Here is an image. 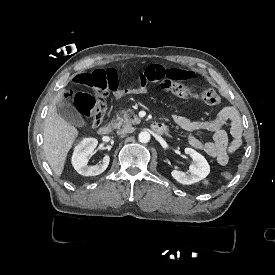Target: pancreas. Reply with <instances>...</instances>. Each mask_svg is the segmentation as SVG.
Instances as JSON below:
<instances>
[{"instance_id":"obj_1","label":"pancreas","mask_w":275,"mask_h":275,"mask_svg":"<svg viewBox=\"0 0 275 275\" xmlns=\"http://www.w3.org/2000/svg\"><path fill=\"white\" fill-rule=\"evenodd\" d=\"M140 119L134 113L133 110L127 109L122 110L120 113H117L112 120L113 127L119 129L120 127L126 128L131 127L132 125H137L140 123Z\"/></svg>"}]
</instances>
